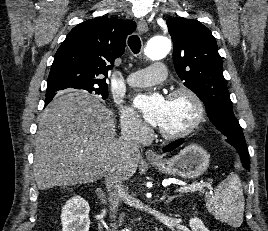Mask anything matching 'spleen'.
Segmentation results:
<instances>
[{
	"label": "spleen",
	"mask_w": 268,
	"mask_h": 231,
	"mask_svg": "<svg viewBox=\"0 0 268 231\" xmlns=\"http://www.w3.org/2000/svg\"><path fill=\"white\" fill-rule=\"evenodd\" d=\"M208 211L221 222L240 227L244 217V195L240 178L231 173L214 190L206 203Z\"/></svg>",
	"instance_id": "spleen-1"
}]
</instances>
